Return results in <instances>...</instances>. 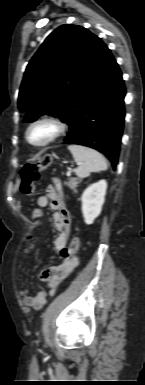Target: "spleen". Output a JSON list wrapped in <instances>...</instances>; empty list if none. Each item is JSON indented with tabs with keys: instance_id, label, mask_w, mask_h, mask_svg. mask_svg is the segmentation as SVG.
Segmentation results:
<instances>
[{
	"instance_id": "1",
	"label": "spleen",
	"mask_w": 145,
	"mask_h": 385,
	"mask_svg": "<svg viewBox=\"0 0 145 385\" xmlns=\"http://www.w3.org/2000/svg\"><path fill=\"white\" fill-rule=\"evenodd\" d=\"M68 149L72 153L75 162L79 165L75 171L78 177L85 178L92 172L107 170L106 159L96 150L77 144L69 145Z\"/></svg>"
}]
</instances>
